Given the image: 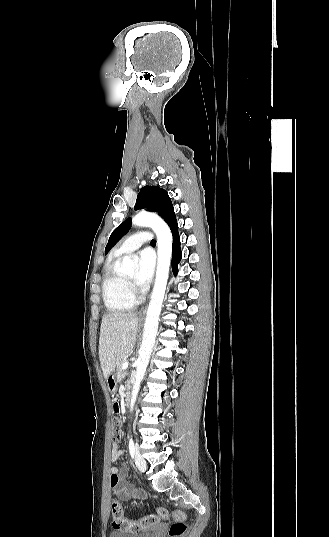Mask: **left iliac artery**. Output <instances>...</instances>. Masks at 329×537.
Segmentation results:
<instances>
[{
    "label": "left iliac artery",
    "mask_w": 329,
    "mask_h": 537,
    "mask_svg": "<svg viewBox=\"0 0 329 537\" xmlns=\"http://www.w3.org/2000/svg\"><path fill=\"white\" fill-rule=\"evenodd\" d=\"M135 450H136V448H135L134 441H133L132 437H130V439H129V451H130V455H131L132 458L134 457Z\"/></svg>",
    "instance_id": "44dca946"
}]
</instances>
